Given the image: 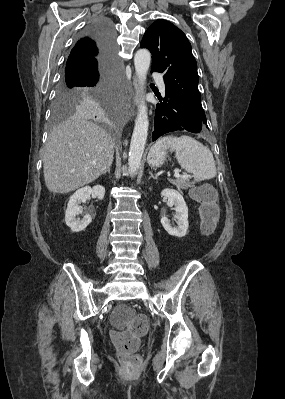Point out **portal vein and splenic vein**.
Instances as JSON below:
<instances>
[{"label":"portal vein and splenic vein","instance_id":"18ae733b","mask_svg":"<svg viewBox=\"0 0 285 399\" xmlns=\"http://www.w3.org/2000/svg\"><path fill=\"white\" fill-rule=\"evenodd\" d=\"M174 177H175V178H179V177H182V178H190V175H187V174L180 175L179 171H178V170H175Z\"/></svg>","mask_w":285,"mask_h":399}]
</instances>
